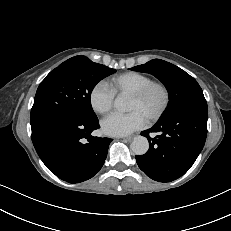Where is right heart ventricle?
Returning a JSON list of instances; mask_svg holds the SVG:
<instances>
[{
  "label": "right heart ventricle",
  "instance_id": "right-heart-ventricle-1",
  "mask_svg": "<svg viewBox=\"0 0 231 231\" xmlns=\"http://www.w3.org/2000/svg\"><path fill=\"white\" fill-rule=\"evenodd\" d=\"M150 81H152L151 77L146 74L129 71L111 78L108 82V86L114 94L130 95Z\"/></svg>",
  "mask_w": 231,
  "mask_h": 231
}]
</instances>
